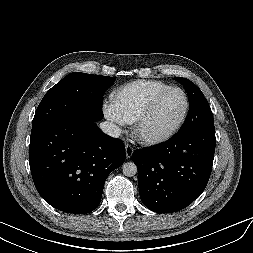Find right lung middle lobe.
<instances>
[{"label": "right lung middle lobe", "mask_w": 253, "mask_h": 253, "mask_svg": "<svg viewBox=\"0 0 253 253\" xmlns=\"http://www.w3.org/2000/svg\"><path fill=\"white\" fill-rule=\"evenodd\" d=\"M114 78L73 72L43 97L32 122V131L59 121L103 119L102 96Z\"/></svg>", "instance_id": "obj_1"}]
</instances>
